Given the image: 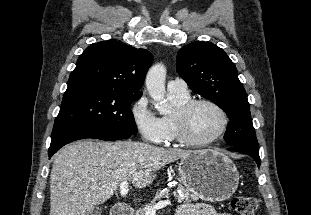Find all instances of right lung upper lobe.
I'll list each match as a JSON object with an SVG mask.
<instances>
[{
    "mask_svg": "<svg viewBox=\"0 0 311 215\" xmlns=\"http://www.w3.org/2000/svg\"><path fill=\"white\" fill-rule=\"evenodd\" d=\"M152 54L114 39L97 42L85 49L70 74L68 87L91 85L127 93L142 94Z\"/></svg>",
    "mask_w": 311,
    "mask_h": 215,
    "instance_id": "right-lung-upper-lobe-1",
    "label": "right lung upper lobe"
}]
</instances>
